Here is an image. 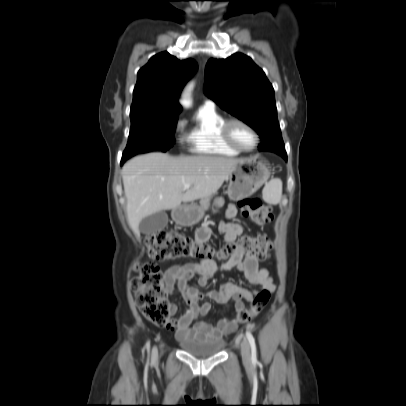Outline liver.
<instances>
[{
	"instance_id": "1",
	"label": "liver",
	"mask_w": 406,
	"mask_h": 406,
	"mask_svg": "<svg viewBox=\"0 0 406 406\" xmlns=\"http://www.w3.org/2000/svg\"><path fill=\"white\" fill-rule=\"evenodd\" d=\"M243 159L209 155L172 157L149 153L129 160L122 168L127 219L134 233L140 222L181 202L209 198ZM185 184L191 187L183 193Z\"/></svg>"
}]
</instances>
